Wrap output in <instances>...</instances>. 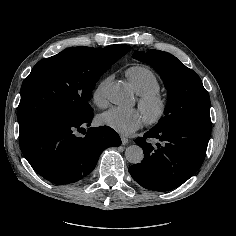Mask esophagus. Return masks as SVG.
Here are the masks:
<instances>
[{
    "label": "esophagus",
    "instance_id": "esophagus-1",
    "mask_svg": "<svg viewBox=\"0 0 236 236\" xmlns=\"http://www.w3.org/2000/svg\"><path fill=\"white\" fill-rule=\"evenodd\" d=\"M121 141H122V144L125 145V144L128 143V138H126L125 136L121 135Z\"/></svg>",
    "mask_w": 236,
    "mask_h": 236
}]
</instances>
